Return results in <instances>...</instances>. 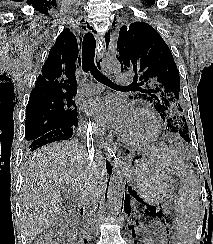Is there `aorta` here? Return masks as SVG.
I'll return each instance as SVG.
<instances>
[{"label":"aorta","mask_w":213,"mask_h":244,"mask_svg":"<svg viewBox=\"0 0 213 244\" xmlns=\"http://www.w3.org/2000/svg\"><path fill=\"white\" fill-rule=\"evenodd\" d=\"M102 69L108 73L118 74L121 71L120 62L114 57H107L102 62ZM125 188V179L122 172V160H115L114 169L110 177L107 204L112 214L120 212L123 203V194Z\"/></svg>","instance_id":"762f6f07"}]
</instances>
